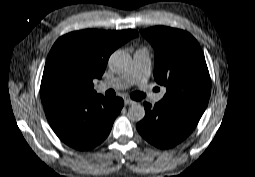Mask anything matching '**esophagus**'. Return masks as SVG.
I'll return each mask as SVG.
<instances>
[{
  "label": "esophagus",
  "mask_w": 255,
  "mask_h": 177,
  "mask_svg": "<svg viewBox=\"0 0 255 177\" xmlns=\"http://www.w3.org/2000/svg\"><path fill=\"white\" fill-rule=\"evenodd\" d=\"M124 102H125L126 105H130V104H135L136 103V101H134V100H132L130 98H125Z\"/></svg>",
  "instance_id": "1"
}]
</instances>
